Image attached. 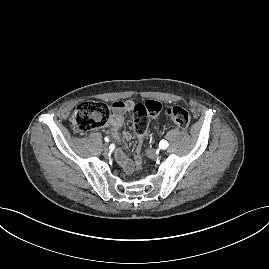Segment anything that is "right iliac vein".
I'll return each mask as SVG.
<instances>
[{"label":"right iliac vein","mask_w":269,"mask_h":269,"mask_svg":"<svg viewBox=\"0 0 269 269\" xmlns=\"http://www.w3.org/2000/svg\"><path fill=\"white\" fill-rule=\"evenodd\" d=\"M103 149H104V151H108L109 150V144L108 143H104L103 144Z\"/></svg>","instance_id":"obj_1"}]
</instances>
